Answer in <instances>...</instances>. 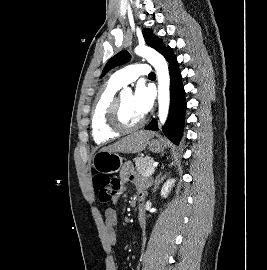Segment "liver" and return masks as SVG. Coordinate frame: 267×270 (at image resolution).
<instances>
[{
	"mask_svg": "<svg viewBox=\"0 0 267 270\" xmlns=\"http://www.w3.org/2000/svg\"><path fill=\"white\" fill-rule=\"evenodd\" d=\"M152 135L150 132L137 131L129 134L110 144L104 148L103 151L123 152V153H137L145 149L148 138Z\"/></svg>",
	"mask_w": 267,
	"mask_h": 270,
	"instance_id": "6515ba94",
	"label": "liver"
}]
</instances>
